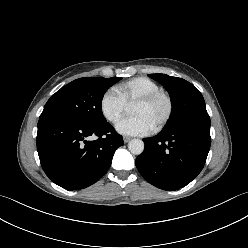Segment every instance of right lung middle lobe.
<instances>
[{"label": "right lung middle lobe", "instance_id": "right-lung-middle-lobe-1", "mask_svg": "<svg viewBox=\"0 0 248 248\" xmlns=\"http://www.w3.org/2000/svg\"><path fill=\"white\" fill-rule=\"evenodd\" d=\"M121 78L85 77L62 87L46 103L41 118L67 116L85 123L106 122L101 104L104 93Z\"/></svg>", "mask_w": 248, "mask_h": 248}]
</instances>
